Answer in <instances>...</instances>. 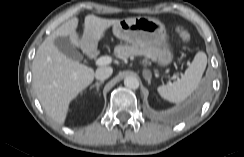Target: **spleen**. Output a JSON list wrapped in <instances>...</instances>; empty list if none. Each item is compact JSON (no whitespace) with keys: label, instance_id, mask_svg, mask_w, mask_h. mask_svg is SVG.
Here are the masks:
<instances>
[{"label":"spleen","instance_id":"3e777b00","mask_svg":"<svg viewBox=\"0 0 244 157\" xmlns=\"http://www.w3.org/2000/svg\"><path fill=\"white\" fill-rule=\"evenodd\" d=\"M206 65V54L203 51L197 52L192 63L185 70L181 78L173 83L159 86L157 89L158 93L163 99L169 102H182L198 87Z\"/></svg>","mask_w":244,"mask_h":157}]
</instances>
